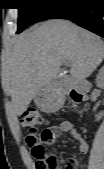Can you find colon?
<instances>
[{"label": "colon", "instance_id": "5ec220e1", "mask_svg": "<svg viewBox=\"0 0 104 169\" xmlns=\"http://www.w3.org/2000/svg\"><path fill=\"white\" fill-rule=\"evenodd\" d=\"M81 96L76 90L70 91L71 105L79 104ZM43 121L42 115L37 110H29L23 113L20 118V126L25 131V142L35 159L36 169H59L57 155L44 146L46 139L54 138L59 133L57 127H51L39 133L38 130Z\"/></svg>", "mask_w": 104, "mask_h": 169}]
</instances>
